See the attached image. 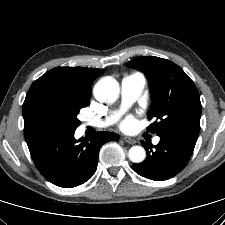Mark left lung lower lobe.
<instances>
[{
    "label": "left lung lower lobe",
    "instance_id": "0a47b994",
    "mask_svg": "<svg viewBox=\"0 0 225 225\" xmlns=\"http://www.w3.org/2000/svg\"><path fill=\"white\" fill-rule=\"evenodd\" d=\"M142 144L147 158L140 164H133V170L143 177L163 181L185 168L196 143L172 135H161L154 152L149 150L151 145L143 141Z\"/></svg>",
    "mask_w": 225,
    "mask_h": 225
}]
</instances>
